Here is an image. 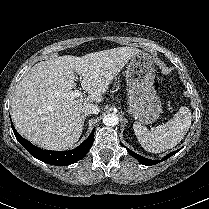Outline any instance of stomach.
Wrapping results in <instances>:
<instances>
[{
  "label": "stomach",
  "instance_id": "obj_1",
  "mask_svg": "<svg viewBox=\"0 0 209 209\" xmlns=\"http://www.w3.org/2000/svg\"><path fill=\"white\" fill-rule=\"evenodd\" d=\"M155 67L152 57L143 51L127 64L126 83L130 114L145 124L155 122L162 113V103L154 87Z\"/></svg>",
  "mask_w": 209,
  "mask_h": 209
}]
</instances>
